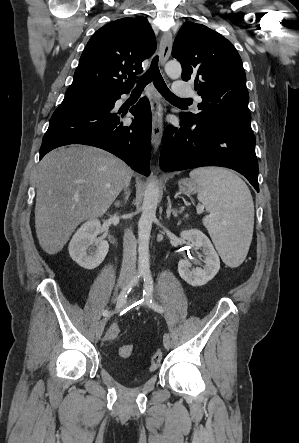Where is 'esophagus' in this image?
<instances>
[{
	"instance_id": "34e87169",
	"label": "esophagus",
	"mask_w": 299,
	"mask_h": 443,
	"mask_svg": "<svg viewBox=\"0 0 299 443\" xmlns=\"http://www.w3.org/2000/svg\"><path fill=\"white\" fill-rule=\"evenodd\" d=\"M173 38L172 33L167 31L163 34L160 45L159 54L161 64H164L169 58L172 50ZM163 133V108L160 103H157L156 109L152 117V146L154 150H157L162 139Z\"/></svg>"
}]
</instances>
